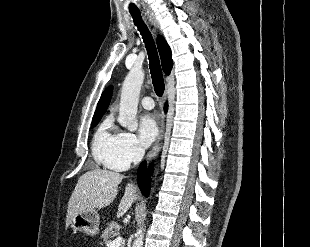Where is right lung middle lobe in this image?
<instances>
[{
  "instance_id": "1",
  "label": "right lung middle lobe",
  "mask_w": 310,
  "mask_h": 247,
  "mask_svg": "<svg viewBox=\"0 0 310 247\" xmlns=\"http://www.w3.org/2000/svg\"><path fill=\"white\" fill-rule=\"evenodd\" d=\"M101 117H102V116L97 117V118H94V119L92 120L91 128L95 127V126L98 124V122L100 121Z\"/></svg>"
}]
</instances>
